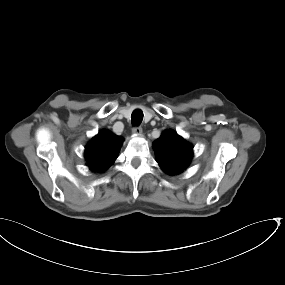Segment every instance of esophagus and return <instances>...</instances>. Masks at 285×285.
I'll return each instance as SVG.
<instances>
[{
  "instance_id": "34e87169",
  "label": "esophagus",
  "mask_w": 285,
  "mask_h": 285,
  "mask_svg": "<svg viewBox=\"0 0 285 285\" xmlns=\"http://www.w3.org/2000/svg\"><path fill=\"white\" fill-rule=\"evenodd\" d=\"M132 134L134 136H140L142 134V128L140 126H136L132 129Z\"/></svg>"
}]
</instances>
